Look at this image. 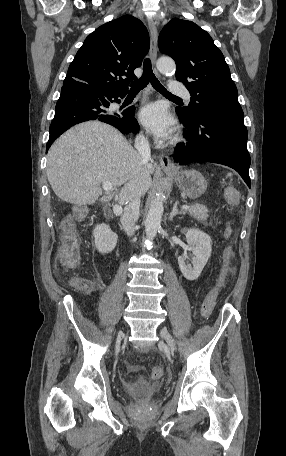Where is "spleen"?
<instances>
[{"label":"spleen","mask_w":286,"mask_h":456,"mask_svg":"<svg viewBox=\"0 0 286 456\" xmlns=\"http://www.w3.org/2000/svg\"><path fill=\"white\" fill-rule=\"evenodd\" d=\"M231 176H232V173H228V174H227V177H231Z\"/></svg>","instance_id":"1"}]
</instances>
